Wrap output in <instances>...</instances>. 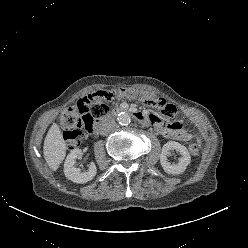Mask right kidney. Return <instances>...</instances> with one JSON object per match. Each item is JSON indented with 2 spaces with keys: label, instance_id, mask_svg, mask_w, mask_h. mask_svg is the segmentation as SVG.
Here are the masks:
<instances>
[{
  "label": "right kidney",
  "instance_id": "ca27d5eb",
  "mask_svg": "<svg viewBox=\"0 0 248 248\" xmlns=\"http://www.w3.org/2000/svg\"><path fill=\"white\" fill-rule=\"evenodd\" d=\"M83 155L81 149H73L67 156L64 163V174L65 176L71 180L72 182L83 184L88 181H91L96 173L97 168L94 163L89 165V169L87 172H81L79 168L75 167L76 159Z\"/></svg>",
  "mask_w": 248,
  "mask_h": 248
}]
</instances>
